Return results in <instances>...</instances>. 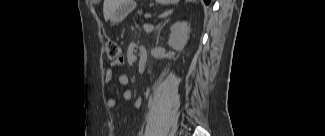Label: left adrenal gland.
I'll return each mask as SVG.
<instances>
[{"label": "left adrenal gland", "instance_id": "1", "mask_svg": "<svg viewBox=\"0 0 325 136\" xmlns=\"http://www.w3.org/2000/svg\"><path fill=\"white\" fill-rule=\"evenodd\" d=\"M172 12H169L168 13V15H170ZM167 15V16H168ZM168 21H169V19H166L162 24H159L157 27H156V29H157V43H158V41H159V35H160V31H161V29L163 28V26L166 24V23H168Z\"/></svg>", "mask_w": 325, "mask_h": 136}]
</instances>
